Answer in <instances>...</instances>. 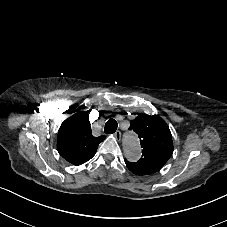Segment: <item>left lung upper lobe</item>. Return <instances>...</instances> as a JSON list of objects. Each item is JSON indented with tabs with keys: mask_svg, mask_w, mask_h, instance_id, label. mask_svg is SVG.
Segmentation results:
<instances>
[{
	"mask_svg": "<svg viewBox=\"0 0 227 227\" xmlns=\"http://www.w3.org/2000/svg\"><path fill=\"white\" fill-rule=\"evenodd\" d=\"M130 129L139 138L142 158L135 163H125L128 169L136 175H149L159 171L173 153V142L170 129L159 116L140 114L130 121Z\"/></svg>",
	"mask_w": 227,
	"mask_h": 227,
	"instance_id": "1",
	"label": "left lung upper lobe"
}]
</instances>
